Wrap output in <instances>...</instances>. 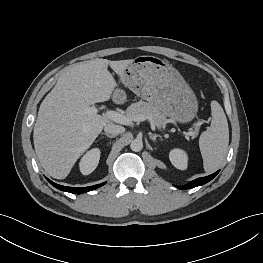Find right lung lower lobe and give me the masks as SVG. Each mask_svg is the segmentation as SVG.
<instances>
[{
	"mask_svg": "<svg viewBox=\"0 0 263 263\" xmlns=\"http://www.w3.org/2000/svg\"><path fill=\"white\" fill-rule=\"evenodd\" d=\"M54 187L62 190V191H66V192H70V193H73V194H81V193H84V192H88V191H92L94 189H97L99 188L100 186L104 185V183L102 184H98V185H94V186H89V187H83V188H75V187H67V186H62V185H58L52 181H50L49 179H47Z\"/></svg>",
	"mask_w": 263,
	"mask_h": 263,
	"instance_id": "98d812e1",
	"label": "right lung lower lobe"
}]
</instances>
